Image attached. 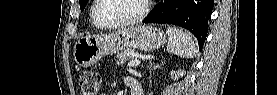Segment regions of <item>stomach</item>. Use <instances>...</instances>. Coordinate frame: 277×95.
Listing matches in <instances>:
<instances>
[{
	"instance_id": "stomach-1",
	"label": "stomach",
	"mask_w": 277,
	"mask_h": 95,
	"mask_svg": "<svg viewBox=\"0 0 277 95\" xmlns=\"http://www.w3.org/2000/svg\"><path fill=\"white\" fill-rule=\"evenodd\" d=\"M166 42V34L151 25H138L100 36L82 37L76 41L73 57L79 67L94 65L105 55L125 49L154 51Z\"/></svg>"
}]
</instances>
